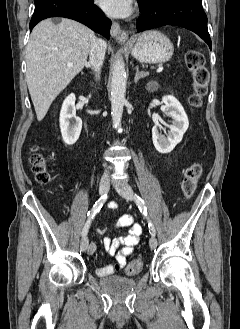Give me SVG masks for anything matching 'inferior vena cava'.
Masks as SVG:
<instances>
[{
	"instance_id": "1",
	"label": "inferior vena cava",
	"mask_w": 240,
	"mask_h": 329,
	"mask_svg": "<svg viewBox=\"0 0 240 329\" xmlns=\"http://www.w3.org/2000/svg\"><path fill=\"white\" fill-rule=\"evenodd\" d=\"M106 43L102 39L95 38L89 53V63L87 66L91 67L96 72V77H99L100 68L103 64L106 51ZM106 166V165H104ZM107 173V171H106Z\"/></svg>"
}]
</instances>
